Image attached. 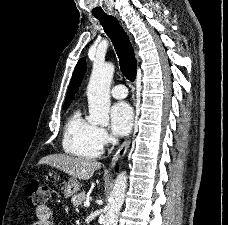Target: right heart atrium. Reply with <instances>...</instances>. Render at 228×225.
<instances>
[{"label":"right heart atrium","mask_w":228,"mask_h":225,"mask_svg":"<svg viewBox=\"0 0 228 225\" xmlns=\"http://www.w3.org/2000/svg\"><path fill=\"white\" fill-rule=\"evenodd\" d=\"M97 135L102 145H106L109 142V133L105 128L97 127Z\"/></svg>","instance_id":"d8ad5b80"}]
</instances>
